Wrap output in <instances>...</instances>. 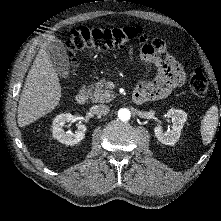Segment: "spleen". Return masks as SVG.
<instances>
[{"mask_svg": "<svg viewBox=\"0 0 221 221\" xmlns=\"http://www.w3.org/2000/svg\"><path fill=\"white\" fill-rule=\"evenodd\" d=\"M218 108L211 106L201 122V135L204 144H209L218 127Z\"/></svg>", "mask_w": 221, "mask_h": 221, "instance_id": "3e777b00", "label": "spleen"}]
</instances>
